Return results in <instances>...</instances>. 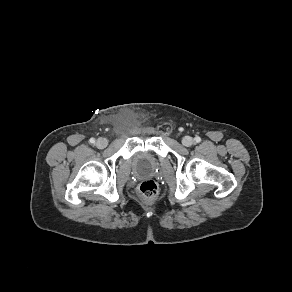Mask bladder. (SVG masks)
Listing matches in <instances>:
<instances>
[{"label": "bladder", "instance_id": "obj_1", "mask_svg": "<svg viewBox=\"0 0 292 292\" xmlns=\"http://www.w3.org/2000/svg\"><path fill=\"white\" fill-rule=\"evenodd\" d=\"M131 165L138 175H149L158 168V160L149 151H138L131 158Z\"/></svg>", "mask_w": 292, "mask_h": 292}]
</instances>
